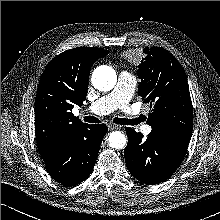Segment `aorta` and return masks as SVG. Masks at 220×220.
<instances>
[{
    "label": "aorta",
    "mask_w": 220,
    "mask_h": 220,
    "mask_svg": "<svg viewBox=\"0 0 220 220\" xmlns=\"http://www.w3.org/2000/svg\"><path fill=\"white\" fill-rule=\"evenodd\" d=\"M93 86L99 91H110L117 82L116 72L109 66H99L92 74ZM109 145L115 149H123L127 143V138L120 131L110 133Z\"/></svg>",
    "instance_id": "1"
}]
</instances>
